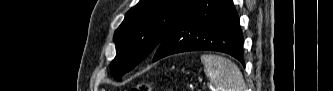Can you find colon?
I'll use <instances>...</instances> for the list:
<instances>
[{"instance_id":"obj_1","label":"colon","mask_w":333,"mask_h":91,"mask_svg":"<svg viewBox=\"0 0 333 91\" xmlns=\"http://www.w3.org/2000/svg\"><path fill=\"white\" fill-rule=\"evenodd\" d=\"M151 85L149 83H139L131 88V91H150Z\"/></svg>"}]
</instances>
